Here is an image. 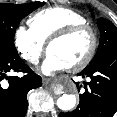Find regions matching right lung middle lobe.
Listing matches in <instances>:
<instances>
[{
  "instance_id": "dd1d6c3e",
  "label": "right lung middle lobe",
  "mask_w": 117,
  "mask_h": 117,
  "mask_svg": "<svg viewBox=\"0 0 117 117\" xmlns=\"http://www.w3.org/2000/svg\"><path fill=\"white\" fill-rule=\"evenodd\" d=\"M44 4V2L26 4L0 3V56L18 55L14 45V35L18 24L29 13Z\"/></svg>"
}]
</instances>
